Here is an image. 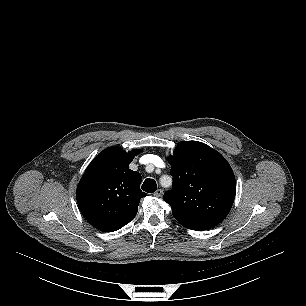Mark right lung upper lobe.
<instances>
[{
    "label": "right lung upper lobe",
    "instance_id": "cb5924a9",
    "mask_svg": "<svg viewBox=\"0 0 306 306\" xmlns=\"http://www.w3.org/2000/svg\"><path fill=\"white\" fill-rule=\"evenodd\" d=\"M139 150L109 147L87 167L76 191L78 207L96 229L112 232L134 219L140 199L141 175L129 169Z\"/></svg>",
    "mask_w": 306,
    "mask_h": 306
}]
</instances>
